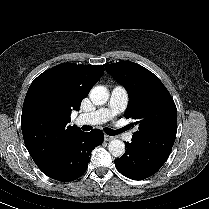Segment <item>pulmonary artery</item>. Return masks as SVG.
I'll list each match as a JSON object with an SVG mask.
<instances>
[{"instance_id":"obj_1","label":"pulmonary artery","mask_w":209,"mask_h":209,"mask_svg":"<svg viewBox=\"0 0 209 209\" xmlns=\"http://www.w3.org/2000/svg\"><path fill=\"white\" fill-rule=\"evenodd\" d=\"M128 102V93L122 86H115L110 94L109 103L106 107L100 108L92 113L84 114L83 120L87 124H101L112 119L122 112ZM132 133H126L124 139L128 142L132 140Z\"/></svg>"}]
</instances>
